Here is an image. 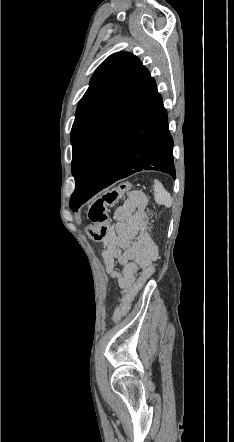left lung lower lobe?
<instances>
[{"instance_id":"obj_1","label":"left lung lower lobe","mask_w":234,"mask_h":442,"mask_svg":"<svg viewBox=\"0 0 234 442\" xmlns=\"http://www.w3.org/2000/svg\"><path fill=\"white\" fill-rule=\"evenodd\" d=\"M172 153L162 97L144 69L88 143L70 208L77 211L103 188L143 169L175 178Z\"/></svg>"}]
</instances>
